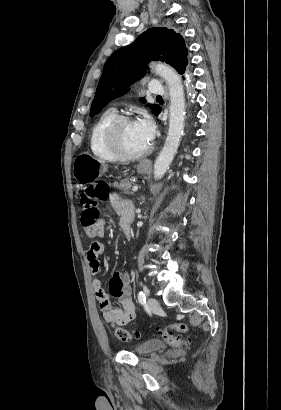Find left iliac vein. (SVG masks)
<instances>
[{
	"instance_id": "4c4485c4",
	"label": "left iliac vein",
	"mask_w": 281,
	"mask_h": 410,
	"mask_svg": "<svg viewBox=\"0 0 281 410\" xmlns=\"http://www.w3.org/2000/svg\"><path fill=\"white\" fill-rule=\"evenodd\" d=\"M148 306L151 310H157L160 308L159 302L155 298H152V297L148 298Z\"/></svg>"
}]
</instances>
